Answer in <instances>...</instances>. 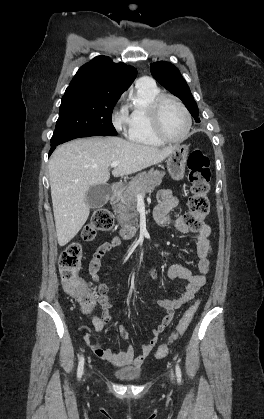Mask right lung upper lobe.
Wrapping results in <instances>:
<instances>
[{"label":"right lung upper lobe","mask_w":264,"mask_h":419,"mask_svg":"<svg viewBox=\"0 0 264 419\" xmlns=\"http://www.w3.org/2000/svg\"><path fill=\"white\" fill-rule=\"evenodd\" d=\"M137 70L109 57L98 56L79 68L68 88L81 87L91 91L122 94L134 81Z\"/></svg>","instance_id":"right-lung-upper-lobe-1"}]
</instances>
